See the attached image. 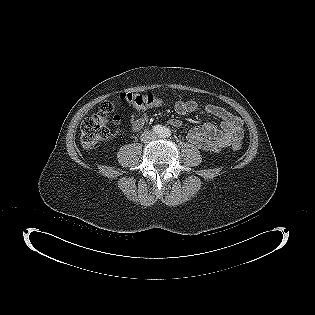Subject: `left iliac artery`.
<instances>
[{"label":"left iliac artery","instance_id":"obj_1","mask_svg":"<svg viewBox=\"0 0 315 315\" xmlns=\"http://www.w3.org/2000/svg\"><path fill=\"white\" fill-rule=\"evenodd\" d=\"M171 134H172L171 130L169 128L164 127L160 136L165 138V137H170Z\"/></svg>","mask_w":315,"mask_h":315}]
</instances>
